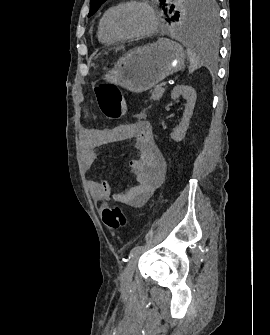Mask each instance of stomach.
I'll return each mask as SVG.
<instances>
[{
  "label": "stomach",
  "mask_w": 270,
  "mask_h": 335,
  "mask_svg": "<svg viewBox=\"0 0 270 335\" xmlns=\"http://www.w3.org/2000/svg\"><path fill=\"white\" fill-rule=\"evenodd\" d=\"M184 62L185 52L180 44L169 38H158L154 44L125 52L103 80L140 94L166 76L183 70Z\"/></svg>",
  "instance_id": "obj_1"
}]
</instances>
